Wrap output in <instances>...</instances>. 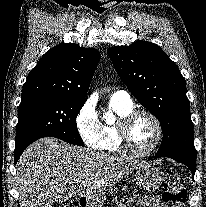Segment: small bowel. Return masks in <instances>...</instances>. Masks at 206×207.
<instances>
[{"mask_svg":"<svg viewBox=\"0 0 206 207\" xmlns=\"http://www.w3.org/2000/svg\"><path fill=\"white\" fill-rule=\"evenodd\" d=\"M136 202V204L145 207V206H149V207H168L167 204H165L164 202H161L158 198L156 197H150V196H144L141 197L137 200H133L132 202ZM121 207H126V206H121Z\"/></svg>","mask_w":206,"mask_h":207,"instance_id":"c3829d8e","label":"small bowel"}]
</instances>
